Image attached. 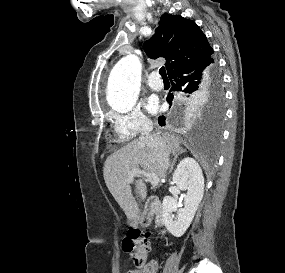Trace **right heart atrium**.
<instances>
[{"label": "right heart atrium", "mask_w": 285, "mask_h": 273, "mask_svg": "<svg viewBox=\"0 0 285 273\" xmlns=\"http://www.w3.org/2000/svg\"><path fill=\"white\" fill-rule=\"evenodd\" d=\"M115 130L126 139L146 132L150 126V119L138 107H134L124 113L113 115Z\"/></svg>", "instance_id": "1"}]
</instances>
